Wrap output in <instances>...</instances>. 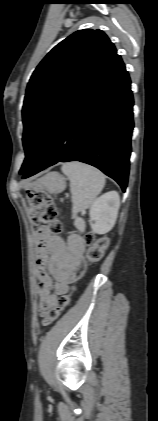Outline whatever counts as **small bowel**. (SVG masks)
Here are the masks:
<instances>
[{"mask_svg":"<svg viewBox=\"0 0 158 421\" xmlns=\"http://www.w3.org/2000/svg\"><path fill=\"white\" fill-rule=\"evenodd\" d=\"M85 244L72 231L67 239L42 230L37 234V279L41 310L54 307L67 294L69 284L84 272Z\"/></svg>","mask_w":158,"mask_h":421,"instance_id":"1","label":"small bowel"}]
</instances>
